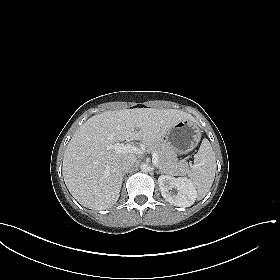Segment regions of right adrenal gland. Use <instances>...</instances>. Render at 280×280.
I'll return each mask as SVG.
<instances>
[{
    "label": "right adrenal gland",
    "mask_w": 280,
    "mask_h": 280,
    "mask_svg": "<svg viewBox=\"0 0 280 280\" xmlns=\"http://www.w3.org/2000/svg\"><path fill=\"white\" fill-rule=\"evenodd\" d=\"M127 173H128L127 171L123 172V177H124Z\"/></svg>",
    "instance_id": "1"
}]
</instances>
